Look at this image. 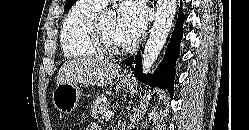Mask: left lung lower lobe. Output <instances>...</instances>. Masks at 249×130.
<instances>
[{
  "label": "left lung lower lobe",
  "instance_id": "1",
  "mask_svg": "<svg viewBox=\"0 0 249 130\" xmlns=\"http://www.w3.org/2000/svg\"><path fill=\"white\" fill-rule=\"evenodd\" d=\"M185 16L182 10V1H180V10L174 31L172 33L170 42L167 46L164 59L159 65L158 69L155 71L154 75L150 74L143 75L141 67L140 53L136 55V65L132 67L133 74L135 77L151 86L160 87L162 89L168 90L173 94L174 90V77H175V63L179 56L180 42L183 37V23ZM134 62V58L130 57L126 60V65L130 66Z\"/></svg>",
  "mask_w": 249,
  "mask_h": 130
}]
</instances>
